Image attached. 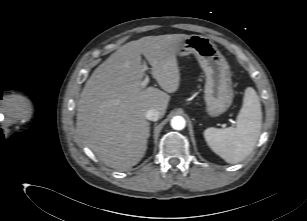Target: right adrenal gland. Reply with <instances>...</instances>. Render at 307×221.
<instances>
[{
  "mask_svg": "<svg viewBox=\"0 0 307 221\" xmlns=\"http://www.w3.org/2000/svg\"><path fill=\"white\" fill-rule=\"evenodd\" d=\"M149 136H150V127H149V133H148V138H149Z\"/></svg>",
  "mask_w": 307,
  "mask_h": 221,
  "instance_id": "obj_1",
  "label": "right adrenal gland"
}]
</instances>
